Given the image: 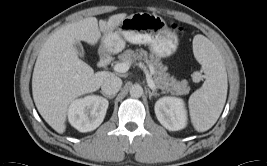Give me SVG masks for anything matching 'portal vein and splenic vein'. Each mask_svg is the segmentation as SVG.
<instances>
[{
	"mask_svg": "<svg viewBox=\"0 0 267 166\" xmlns=\"http://www.w3.org/2000/svg\"><path fill=\"white\" fill-rule=\"evenodd\" d=\"M129 67L130 65L126 62H121V63H117L114 65V70L116 72H119V73H125L129 70ZM146 78H147V83H148V86L152 89V90H156V85L152 79V76L146 72Z\"/></svg>",
	"mask_w": 267,
	"mask_h": 166,
	"instance_id": "obj_1",
	"label": "portal vein and splenic vein"
}]
</instances>
